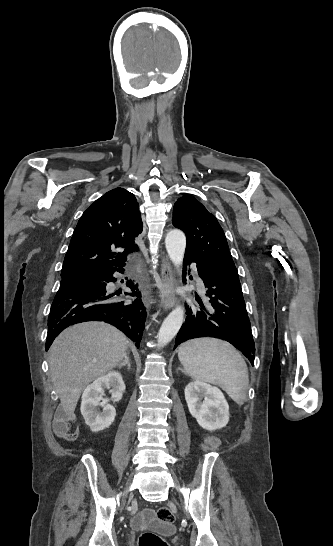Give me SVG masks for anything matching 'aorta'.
Segmentation results:
<instances>
[{
  "label": "aorta",
  "instance_id": "obj_1",
  "mask_svg": "<svg viewBox=\"0 0 333 546\" xmlns=\"http://www.w3.org/2000/svg\"><path fill=\"white\" fill-rule=\"evenodd\" d=\"M166 250L172 263L179 268L182 264L186 237L181 230L173 229L169 231L165 238ZM184 321V308L176 307L164 320L157 335L158 345L163 347L167 345L178 333Z\"/></svg>",
  "mask_w": 333,
  "mask_h": 546
}]
</instances>
